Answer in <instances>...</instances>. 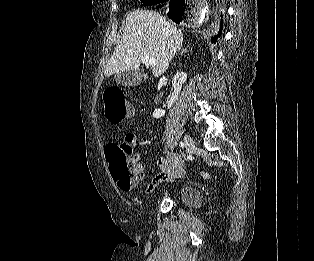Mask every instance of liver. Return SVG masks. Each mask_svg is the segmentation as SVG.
I'll list each match as a JSON object with an SVG mask.
<instances>
[{"instance_id":"liver-1","label":"liver","mask_w":314,"mask_h":261,"mask_svg":"<svg viewBox=\"0 0 314 261\" xmlns=\"http://www.w3.org/2000/svg\"><path fill=\"white\" fill-rule=\"evenodd\" d=\"M182 44V31L159 13L134 10L126 17L122 39L109 59L104 75L109 77L126 70L138 72L142 57L150 56L156 60L153 76L159 77L168 69ZM141 74L145 80L148 78L147 73Z\"/></svg>"}]
</instances>
